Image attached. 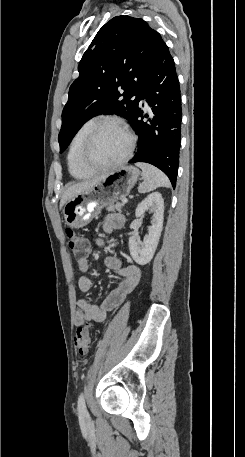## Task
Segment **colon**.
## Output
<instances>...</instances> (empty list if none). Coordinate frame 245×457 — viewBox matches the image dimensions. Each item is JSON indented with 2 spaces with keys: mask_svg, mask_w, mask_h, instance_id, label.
<instances>
[{
  "mask_svg": "<svg viewBox=\"0 0 245 457\" xmlns=\"http://www.w3.org/2000/svg\"><path fill=\"white\" fill-rule=\"evenodd\" d=\"M68 237V247L73 255L79 260L87 258L90 253L88 241L76 235L72 229L66 230ZM91 342L90 325L78 326L74 334V345L79 354L84 355L88 352Z\"/></svg>",
  "mask_w": 245,
  "mask_h": 457,
  "instance_id": "5ec220e1",
  "label": "colon"
}]
</instances>
